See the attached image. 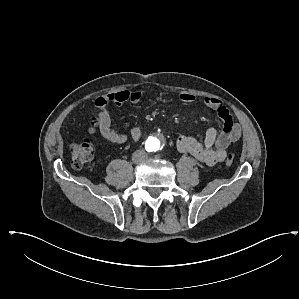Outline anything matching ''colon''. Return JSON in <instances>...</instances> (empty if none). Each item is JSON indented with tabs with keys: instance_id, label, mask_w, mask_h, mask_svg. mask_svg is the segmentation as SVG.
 Wrapping results in <instances>:
<instances>
[{
	"instance_id": "colon-1",
	"label": "colon",
	"mask_w": 299,
	"mask_h": 299,
	"mask_svg": "<svg viewBox=\"0 0 299 299\" xmlns=\"http://www.w3.org/2000/svg\"><path fill=\"white\" fill-rule=\"evenodd\" d=\"M69 150L72 164L76 168H81L93 157V145L89 139L71 144ZM234 159L235 155L230 153L226 159V164L230 166L234 162Z\"/></svg>"
}]
</instances>
